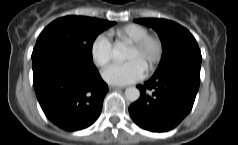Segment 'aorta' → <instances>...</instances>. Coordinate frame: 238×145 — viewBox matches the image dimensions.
<instances>
[{
	"label": "aorta",
	"instance_id": "1",
	"mask_svg": "<svg viewBox=\"0 0 238 145\" xmlns=\"http://www.w3.org/2000/svg\"><path fill=\"white\" fill-rule=\"evenodd\" d=\"M114 57L125 60L129 56L128 47L122 42H116L113 47ZM140 97V91L136 87H128L125 90V98L130 102H135Z\"/></svg>",
	"mask_w": 238,
	"mask_h": 145
}]
</instances>
